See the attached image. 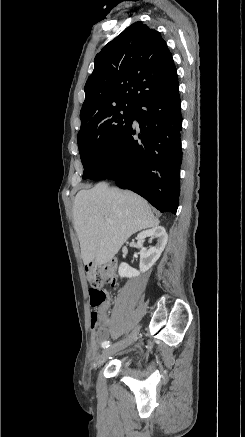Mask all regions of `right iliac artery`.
Returning a JSON list of instances; mask_svg holds the SVG:
<instances>
[{"label": "right iliac artery", "mask_w": 245, "mask_h": 437, "mask_svg": "<svg viewBox=\"0 0 245 437\" xmlns=\"http://www.w3.org/2000/svg\"><path fill=\"white\" fill-rule=\"evenodd\" d=\"M110 346V342L109 341H104L103 343H102V347L103 348H107V347H109Z\"/></svg>", "instance_id": "right-iliac-artery-1"}]
</instances>
